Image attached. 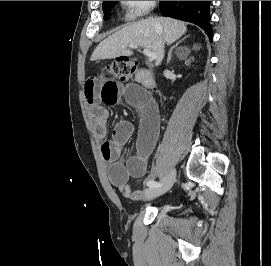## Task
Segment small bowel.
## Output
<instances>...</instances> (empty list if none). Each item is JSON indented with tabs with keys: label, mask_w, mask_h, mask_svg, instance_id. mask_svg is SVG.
<instances>
[{
	"label": "small bowel",
	"mask_w": 271,
	"mask_h": 266,
	"mask_svg": "<svg viewBox=\"0 0 271 266\" xmlns=\"http://www.w3.org/2000/svg\"><path fill=\"white\" fill-rule=\"evenodd\" d=\"M84 94L90 105L96 135L104 139L101 152L103 158L111 163L109 169L111 183L124 197L131 200H143L145 191L133 190L129 185V179L144 176L148 156L157 142L160 117L155 103L135 84L119 82L103 73L86 80ZM122 99L140 113L136 152L125 162L119 157L123 146L135 133L134 125L130 121L120 120L114 126L111 137L107 138L109 114L105 108V106L118 104ZM153 178L154 174L145 181V184L147 185Z\"/></svg>",
	"instance_id": "c3829d8e"
}]
</instances>
